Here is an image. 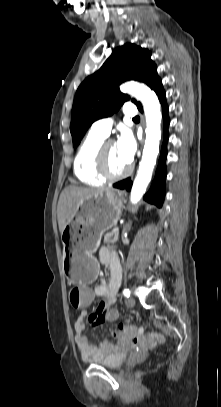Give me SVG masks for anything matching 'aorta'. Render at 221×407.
Segmentation results:
<instances>
[{"label": "aorta", "instance_id": "aorta-1", "mask_svg": "<svg viewBox=\"0 0 221 407\" xmlns=\"http://www.w3.org/2000/svg\"><path fill=\"white\" fill-rule=\"evenodd\" d=\"M120 89L122 92L130 94L142 102L146 117V140L143 155L130 195L131 202L135 204L146 191L159 153L162 119L161 106L157 95L144 84L128 82L123 84Z\"/></svg>", "mask_w": 221, "mask_h": 407}]
</instances>
